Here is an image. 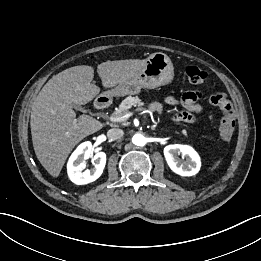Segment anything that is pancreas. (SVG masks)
Wrapping results in <instances>:
<instances>
[{
	"label": "pancreas",
	"mask_w": 261,
	"mask_h": 261,
	"mask_svg": "<svg viewBox=\"0 0 261 261\" xmlns=\"http://www.w3.org/2000/svg\"><path fill=\"white\" fill-rule=\"evenodd\" d=\"M143 105H144V103L141 101V99L139 97L129 96L121 102V104L119 105V109L115 112V115L116 116H123V115L129 113V109L131 107L134 106V107H139V109H142ZM182 133L184 135H187L186 130H182Z\"/></svg>",
	"instance_id": "cf45deb5"
}]
</instances>
